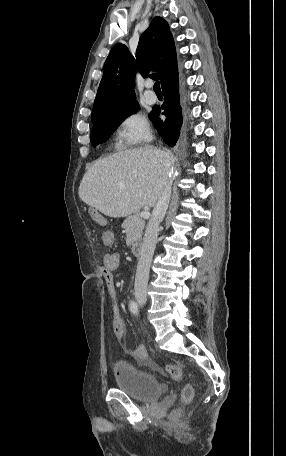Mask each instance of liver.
I'll return each instance as SVG.
<instances>
[{
    "label": "liver",
    "mask_w": 286,
    "mask_h": 456,
    "mask_svg": "<svg viewBox=\"0 0 286 456\" xmlns=\"http://www.w3.org/2000/svg\"><path fill=\"white\" fill-rule=\"evenodd\" d=\"M173 157L147 146L96 160L79 186V197L102 214L119 218L156 205L161 183L169 178Z\"/></svg>",
    "instance_id": "liver-1"
}]
</instances>
